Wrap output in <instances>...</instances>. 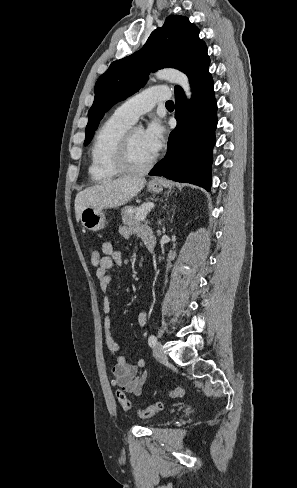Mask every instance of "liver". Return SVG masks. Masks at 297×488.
I'll return each instance as SVG.
<instances>
[{
	"mask_svg": "<svg viewBox=\"0 0 297 488\" xmlns=\"http://www.w3.org/2000/svg\"><path fill=\"white\" fill-rule=\"evenodd\" d=\"M143 176H125L108 180L79 192L75 198L76 219H80L84 208L97 209L122 206L136 196L145 186Z\"/></svg>",
	"mask_w": 297,
	"mask_h": 488,
	"instance_id": "6515ba94",
	"label": "liver"
}]
</instances>
